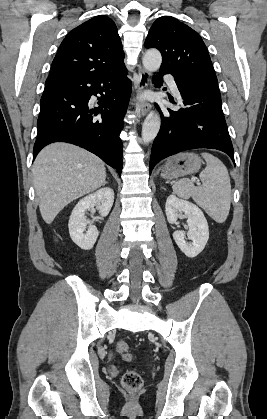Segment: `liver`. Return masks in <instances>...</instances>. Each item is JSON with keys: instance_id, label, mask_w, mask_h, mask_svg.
Instances as JSON below:
<instances>
[{"instance_id": "liver-1", "label": "liver", "mask_w": 267, "mask_h": 419, "mask_svg": "<svg viewBox=\"0 0 267 419\" xmlns=\"http://www.w3.org/2000/svg\"><path fill=\"white\" fill-rule=\"evenodd\" d=\"M32 173L40 213L47 224L70 202L100 188L106 179L102 160L82 148L61 142L41 150Z\"/></svg>"}]
</instances>
